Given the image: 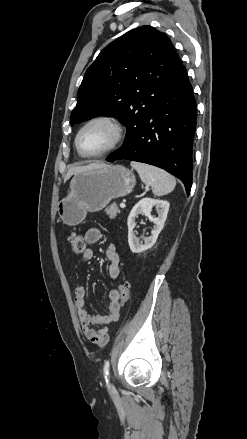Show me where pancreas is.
I'll use <instances>...</instances> for the list:
<instances>
[{"label":"pancreas","instance_id":"obj_1","mask_svg":"<svg viewBox=\"0 0 247 439\" xmlns=\"http://www.w3.org/2000/svg\"><path fill=\"white\" fill-rule=\"evenodd\" d=\"M105 212L110 219H114L120 213V209L116 203H113L105 209Z\"/></svg>","mask_w":247,"mask_h":439}]
</instances>
